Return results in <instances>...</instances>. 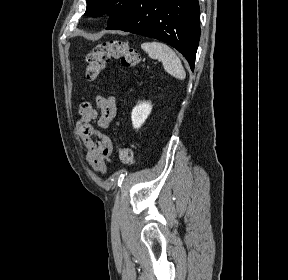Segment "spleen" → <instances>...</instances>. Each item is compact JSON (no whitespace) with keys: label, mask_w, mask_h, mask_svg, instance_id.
I'll use <instances>...</instances> for the list:
<instances>
[{"label":"spleen","mask_w":288,"mask_h":280,"mask_svg":"<svg viewBox=\"0 0 288 280\" xmlns=\"http://www.w3.org/2000/svg\"><path fill=\"white\" fill-rule=\"evenodd\" d=\"M141 48L147 52L150 58L161 60L165 71L170 75L180 80L185 79L186 73L182 63L168 45L153 41L143 43Z\"/></svg>","instance_id":"spleen-1"}]
</instances>
